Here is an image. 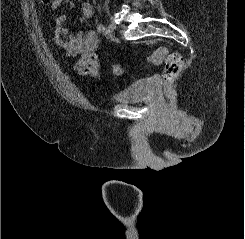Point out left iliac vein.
Here are the masks:
<instances>
[{"label":"left iliac vein","mask_w":245,"mask_h":239,"mask_svg":"<svg viewBox=\"0 0 245 239\" xmlns=\"http://www.w3.org/2000/svg\"><path fill=\"white\" fill-rule=\"evenodd\" d=\"M105 34L108 38H113L114 34H113V27L112 26H107L105 29Z\"/></svg>","instance_id":"left-iliac-vein-1"}]
</instances>
